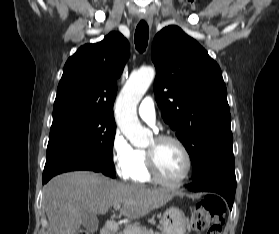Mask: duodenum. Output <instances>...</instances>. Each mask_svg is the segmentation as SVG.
Masks as SVG:
<instances>
[{
  "mask_svg": "<svg viewBox=\"0 0 279 234\" xmlns=\"http://www.w3.org/2000/svg\"><path fill=\"white\" fill-rule=\"evenodd\" d=\"M118 230L117 224L114 220H108L102 230L100 234H116Z\"/></svg>",
  "mask_w": 279,
  "mask_h": 234,
  "instance_id": "obj_1",
  "label": "duodenum"
}]
</instances>
